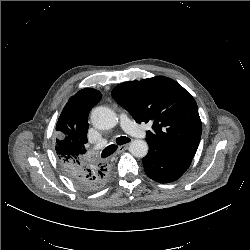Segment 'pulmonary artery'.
<instances>
[{
	"instance_id": "obj_1",
	"label": "pulmonary artery",
	"mask_w": 250,
	"mask_h": 250,
	"mask_svg": "<svg viewBox=\"0 0 250 250\" xmlns=\"http://www.w3.org/2000/svg\"><path fill=\"white\" fill-rule=\"evenodd\" d=\"M121 125L127 133L133 136L141 137V138L146 136V131L141 126H139L134 121H132L125 114L121 115Z\"/></svg>"
}]
</instances>
